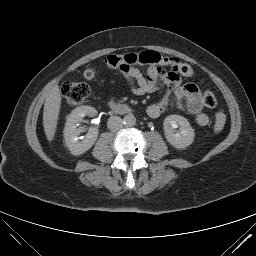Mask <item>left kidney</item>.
<instances>
[{"instance_id":"left-kidney-1","label":"left kidney","mask_w":256,"mask_h":256,"mask_svg":"<svg viewBox=\"0 0 256 256\" xmlns=\"http://www.w3.org/2000/svg\"><path fill=\"white\" fill-rule=\"evenodd\" d=\"M167 141L177 149H185L194 141V129L186 118L179 115L167 116L163 122ZM179 127V131L176 128Z\"/></svg>"}]
</instances>
